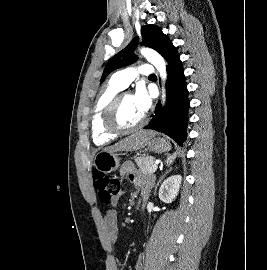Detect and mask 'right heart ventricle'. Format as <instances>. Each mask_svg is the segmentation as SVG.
Here are the masks:
<instances>
[{
  "label": "right heart ventricle",
  "mask_w": 267,
  "mask_h": 270,
  "mask_svg": "<svg viewBox=\"0 0 267 270\" xmlns=\"http://www.w3.org/2000/svg\"><path fill=\"white\" fill-rule=\"evenodd\" d=\"M122 89L111 79L96 99L91 119V130L93 141L98 146L106 145L117 137L105 129L103 120L108 105Z\"/></svg>",
  "instance_id": "obj_1"
}]
</instances>
